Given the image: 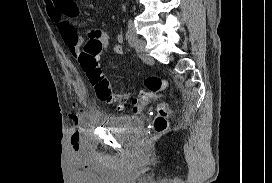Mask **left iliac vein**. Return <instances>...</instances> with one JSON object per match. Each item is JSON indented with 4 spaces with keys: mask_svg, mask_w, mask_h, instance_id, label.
I'll use <instances>...</instances> for the list:
<instances>
[{
    "mask_svg": "<svg viewBox=\"0 0 272 183\" xmlns=\"http://www.w3.org/2000/svg\"><path fill=\"white\" fill-rule=\"evenodd\" d=\"M146 43L143 39H136L135 41V49L138 54V56L144 61V62H151V57L146 52Z\"/></svg>",
    "mask_w": 272,
    "mask_h": 183,
    "instance_id": "obj_1",
    "label": "left iliac vein"
}]
</instances>
